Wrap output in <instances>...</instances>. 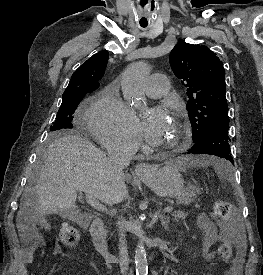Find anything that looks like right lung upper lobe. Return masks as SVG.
<instances>
[{
    "label": "right lung upper lobe",
    "instance_id": "1",
    "mask_svg": "<svg viewBox=\"0 0 263 275\" xmlns=\"http://www.w3.org/2000/svg\"><path fill=\"white\" fill-rule=\"evenodd\" d=\"M108 52L101 51L84 62L72 75L63 94L75 91L92 92L99 87L108 61ZM88 92V93H89Z\"/></svg>",
    "mask_w": 263,
    "mask_h": 275
}]
</instances>
